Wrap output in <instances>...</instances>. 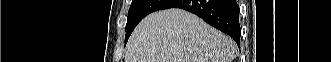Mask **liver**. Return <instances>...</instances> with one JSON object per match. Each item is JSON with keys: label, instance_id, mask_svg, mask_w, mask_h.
<instances>
[{"label": "liver", "instance_id": "6515ba94", "mask_svg": "<svg viewBox=\"0 0 331 62\" xmlns=\"http://www.w3.org/2000/svg\"><path fill=\"white\" fill-rule=\"evenodd\" d=\"M232 38L185 10L172 8L145 17L133 31L125 62H232Z\"/></svg>", "mask_w": 331, "mask_h": 62}]
</instances>
